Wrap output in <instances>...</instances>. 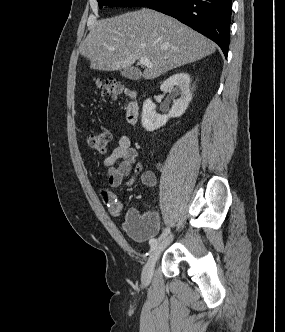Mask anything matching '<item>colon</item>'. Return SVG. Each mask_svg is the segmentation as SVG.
<instances>
[{"label": "colon", "mask_w": 285, "mask_h": 332, "mask_svg": "<svg viewBox=\"0 0 285 332\" xmlns=\"http://www.w3.org/2000/svg\"><path fill=\"white\" fill-rule=\"evenodd\" d=\"M97 87L113 98L121 97L127 93L125 86L113 79L98 81ZM86 142L91 149L98 152H105L110 142V133L107 130L91 133L87 137Z\"/></svg>", "instance_id": "5ec220e1"}]
</instances>
